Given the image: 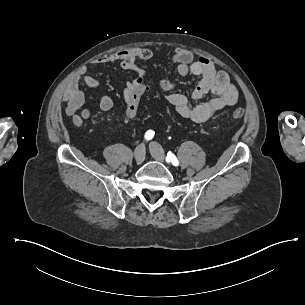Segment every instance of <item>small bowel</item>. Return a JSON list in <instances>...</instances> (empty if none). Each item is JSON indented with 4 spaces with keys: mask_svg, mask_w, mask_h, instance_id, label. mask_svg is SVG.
Returning a JSON list of instances; mask_svg holds the SVG:
<instances>
[{
    "mask_svg": "<svg viewBox=\"0 0 305 305\" xmlns=\"http://www.w3.org/2000/svg\"><path fill=\"white\" fill-rule=\"evenodd\" d=\"M153 51L150 48H132L120 50L109 55H101L91 60L93 65L116 63L123 69L134 72L133 80L128 81L124 87V99L127 102L128 95L139 86L145 85L146 71L138 62L152 58ZM171 61L176 64V71L180 76L192 74L200 77L196 84L191 98L200 100L208 93L213 94L211 98L192 106L190 100L181 93L173 92L174 83L162 79L159 82L161 89L166 92V100L173 106L175 111L183 118L195 123H203L210 119L219 110L234 105L238 99V91L231 82L228 74L215 69L210 60L204 56L197 59L191 51L177 48L171 56ZM82 81L88 88L98 90L99 82L88 74V69L83 67L79 73L73 76L67 86L65 93L66 108L65 113L72 119L77 127H85L92 112L88 109H81L84 101V92L79 89V82ZM99 107L102 111H110L113 107V100L104 95L99 100Z\"/></svg>",
    "mask_w": 305,
    "mask_h": 305,
    "instance_id": "small-bowel-1",
    "label": "small bowel"
}]
</instances>
